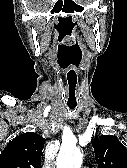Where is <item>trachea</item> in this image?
<instances>
[{
  "instance_id": "trachea-1",
  "label": "trachea",
  "mask_w": 127,
  "mask_h": 168,
  "mask_svg": "<svg viewBox=\"0 0 127 168\" xmlns=\"http://www.w3.org/2000/svg\"><path fill=\"white\" fill-rule=\"evenodd\" d=\"M69 108L72 110V109H74V108H75V106H69Z\"/></svg>"
}]
</instances>
